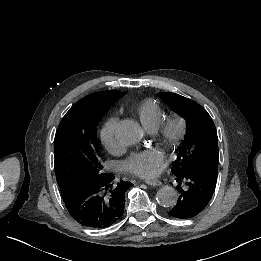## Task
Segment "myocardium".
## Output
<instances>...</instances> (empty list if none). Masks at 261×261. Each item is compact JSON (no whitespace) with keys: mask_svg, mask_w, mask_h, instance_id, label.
Listing matches in <instances>:
<instances>
[{"mask_svg":"<svg viewBox=\"0 0 261 261\" xmlns=\"http://www.w3.org/2000/svg\"><path fill=\"white\" fill-rule=\"evenodd\" d=\"M190 127L188 120L180 115H172L161 121L150 134L160 141L170 155L178 152L187 142Z\"/></svg>","mask_w":261,"mask_h":261,"instance_id":"obj_1","label":"myocardium"}]
</instances>
